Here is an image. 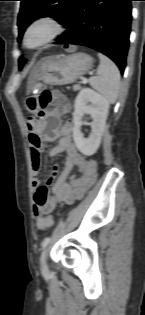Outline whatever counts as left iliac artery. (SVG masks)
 I'll return each mask as SVG.
<instances>
[{
  "label": "left iliac artery",
  "instance_id": "obj_1",
  "mask_svg": "<svg viewBox=\"0 0 145 315\" xmlns=\"http://www.w3.org/2000/svg\"><path fill=\"white\" fill-rule=\"evenodd\" d=\"M50 240V237L45 238L42 242V248H45L49 244Z\"/></svg>",
  "mask_w": 145,
  "mask_h": 315
}]
</instances>
